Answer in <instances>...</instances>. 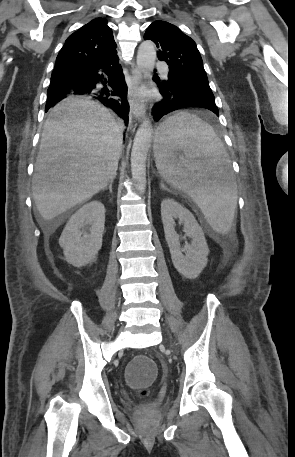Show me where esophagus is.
Masks as SVG:
<instances>
[{
    "mask_svg": "<svg viewBox=\"0 0 295 457\" xmlns=\"http://www.w3.org/2000/svg\"><path fill=\"white\" fill-rule=\"evenodd\" d=\"M131 80L132 87L129 91L130 111L135 118L142 120L146 114V106L138 95L139 87L142 84V75L139 69L133 68Z\"/></svg>",
    "mask_w": 295,
    "mask_h": 457,
    "instance_id": "1",
    "label": "esophagus"
}]
</instances>
